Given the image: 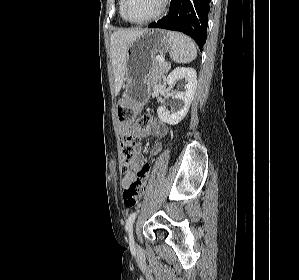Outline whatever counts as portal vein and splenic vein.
Segmentation results:
<instances>
[{"mask_svg": "<svg viewBox=\"0 0 299 280\" xmlns=\"http://www.w3.org/2000/svg\"><path fill=\"white\" fill-rule=\"evenodd\" d=\"M160 63L164 64L165 59L163 57H157L156 58Z\"/></svg>", "mask_w": 299, "mask_h": 280, "instance_id": "portal-vein-and-splenic-vein-1", "label": "portal vein and splenic vein"}]
</instances>
